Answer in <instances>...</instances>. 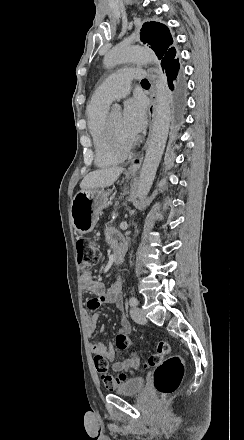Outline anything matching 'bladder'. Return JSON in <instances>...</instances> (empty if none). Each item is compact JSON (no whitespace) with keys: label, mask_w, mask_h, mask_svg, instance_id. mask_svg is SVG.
Instances as JSON below:
<instances>
[{"label":"bladder","mask_w":244,"mask_h":440,"mask_svg":"<svg viewBox=\"0 0 244 440\" xmlns=\"http://www.w3.org/2000/svg\"><path fill=\"white\" fill-rule=\"evenodd\" d=\"M145 386V380L140 377H130L127 378L126 382H124L120 387L114 388L115 394H123V395H135L139 394Z\"/></svg>","instance_id":"bladder-1"}]
</instances>
